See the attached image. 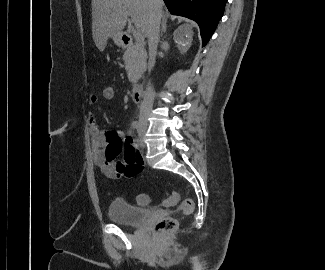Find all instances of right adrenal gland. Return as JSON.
<instances>
[{
	"mask_svg": "<svg viewBox=\"0 0 325 270\" xmlns=\"http://www.w3.org/2000/svg\"><path fill=\"white\" fill-rule=\"evenodd\" d=\"M167 28V21L165 16L162 17V28H161V35L166 31Z\"/></svg>",
	"mask_w": 325,
	"mask_h": 270,
	"instance_id": "right-adrenal-gland-1",
	"label": "right adrenal gland"
}]
</instances>
